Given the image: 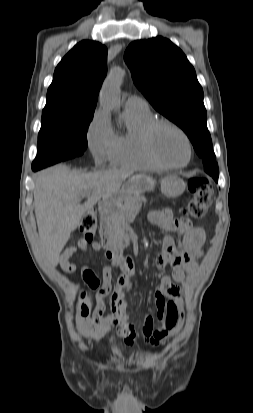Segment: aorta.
Wrapping results in <instances>:
<instances>
[{"mask_svg":"<svg viewBox=\"0 0 253 413\" xmlns=\"http://www.w3.org/2000/svg\"><path fill=\"white\" fill-rule=\"evenodd\" d=\"M123 77L124 71L119 68L107 76L100 93V104L104 109L113 110L119 106V87Z\"/></svg>","mask_w":253,"mask_h":413,"instance_id":"aorta-1","label":"aorta"}]
</instances>
